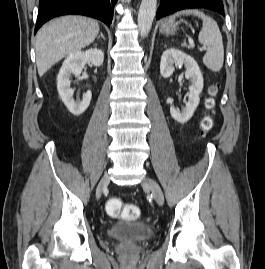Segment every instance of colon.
<instances>
[{
	"instance_id": "colon-1",
	"label": "colon",
	"mask_w": 265,
	"mask_h": 269,
	"mask_svg": "<svg viewBox=\"0 0 265 269\" xmlns=\"http://www.w3.org/2000/svg\"><path fill=\"white\" fill-rule=\"evenodd\" d=\"M217 86L213 85L209 88V96L206 99V108L212 111L215 107V97L217 94ZM212 127V119L207 117L202 122V128L205 132ZM106 212L112 217H122L128 221L135 220L139 215V209L134 204H124L118 198H111L106 202Z\"/></svg>"
}]
</instances>
